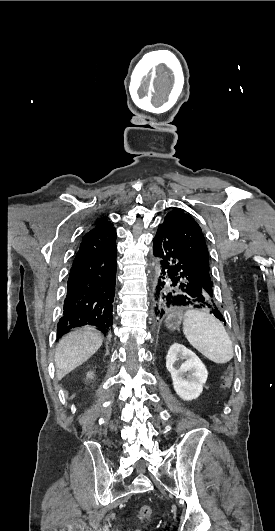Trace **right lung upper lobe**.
<instances>
[{"mask_svg":"<svg viewBox=\"0 0 275 531\" xmlns=\"http://www.w3.org/2000/svg\"><path fill=\"white\" fill-rule=\"evenodd\" d=\"M95 228H114V227L112 223L106 217H103L98 222H96L89 230H92Z\"/></svg>","mask_w":275,"mask_h":531,"instance_id":"cb5924a9","label":"right lung upper lobe"}]
</instances>
